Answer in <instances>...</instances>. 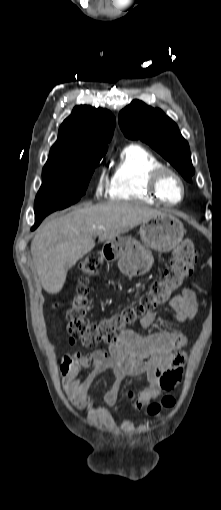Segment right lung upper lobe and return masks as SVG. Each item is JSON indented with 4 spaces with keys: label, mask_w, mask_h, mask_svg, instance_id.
I'll return each mask as SVG.
<instances>
[{
    "label": "right lung upper lobe",
    "mask_w": 221,
    "mask_h": 510,
    "mask_svg": "<svg viewBox=\"0 0 221 510\" xmlns=\"http://www.w3.org/2000/svg\"><path fill=\"white\" fill-rule=\"evenodd\" d=\"M115 127V117L106 109L76 106L59 128L48 161L82 153L107 150Z\"/></svg>",
    "instance_id": "1"
}]
</instances>
